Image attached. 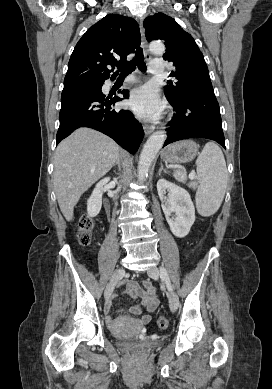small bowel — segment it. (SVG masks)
Segmentation results:
<instances>
[{"instance_id":"small-bowel-1","label":"small bowel","mask_w":272,"mask_h":389,"mask_svg":"<svg viewBox=\"0 0 272 389\" xmlns=\"http://www.w3.org/2000/svg\"><path fill=\"white\" fill-rule=\"evenodd\" d=\"M124 293L130 295L133 298H139L142 302V305L149 313L152 312L158 305L156 289L148 280L143 281L142 283H127L124 289ZM131 311L134 314H138L140 313V308L136 306L133 307ZM150 320L151 316L149 314L143 315L140 319L142 324H148Z\"/></svg>"}]
</instances>
